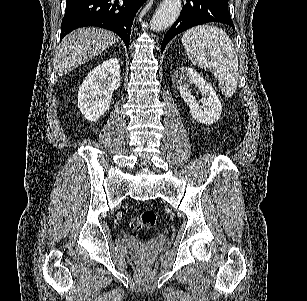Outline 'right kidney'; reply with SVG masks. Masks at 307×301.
Returning <instances> with one entry per match:
<instances>
[{"mask_svg":"<svg viewBox=\"0 0 307 301\" xmlns=\"http://www.w3.org/2000/svg\"><path fill=\"white\" fill-rule=\"evenodd\" d=\"M121 84L119 58L103 60L92 68L79 86L78 108L84 118L97 122L108 110L112 94Z\"/></svg>","mask_w":307,"mask_h":301,"instance_id":"right-kidney-1","label":"right kidney"}]
</instances>
